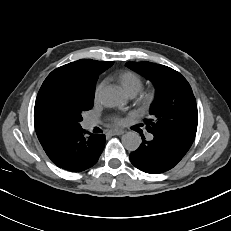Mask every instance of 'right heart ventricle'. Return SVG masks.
I'll use <instances>...</instances> for the list:
<instances>
[{
  "instance_id": "e07e8e85",
  "label": "right heart ventricle",
  "mask_w": 231,
  "mask_h": 231,
  "mask_svg": "<svg viewBox=\"0 0 231 231\" xmlns=\"http://www.w3.org/2000/svg\"><path fill=\"white\" fill-rule=\"evenodd\" d=\"M118 82L129 96H135L143 87V79L133 71H124L118 76Z\"/></svg>"
}]
</instances>
